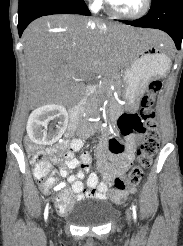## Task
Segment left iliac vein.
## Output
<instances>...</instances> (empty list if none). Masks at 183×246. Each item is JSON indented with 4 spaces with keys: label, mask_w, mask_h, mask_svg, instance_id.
Listing matches in <instances>:
<instances>
[{
    "label": "left iliac vein",
    "mask_w": 183,
    "mask_h": 246,
    "mask_svg": "<svg viewBox=\"0 0 183 246\" xmlns=\"http://www.w3.org/2000/svg\"><path fill=\"white\" fill-rule=\"evenodd\" d=\"M126 217H127V222H128V224H129L130 221H131V212H130L129 209H127V211H126Z\"/></svg>",
    "instance_id": "1"
}]
</instances>
